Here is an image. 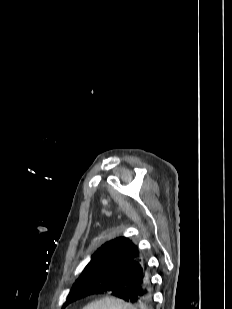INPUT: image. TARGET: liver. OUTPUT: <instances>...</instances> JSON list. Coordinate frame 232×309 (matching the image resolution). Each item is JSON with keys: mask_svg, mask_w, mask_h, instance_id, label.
Listing matches in <instances>:
<instances>
[{"mask_svg": "<svg viewBox=\"0 0 232 309\" xmlns=\"http://www.w3.org/2000/svg\"><path fill=\"white\" fill-rule=\"evenodd\" d=\"M83 309H136V307L121 299L105 297L88 304Z\"/></svg>", "mask_w": 232, "mask_h": 309, "instance_id": "1", "label": "liver"}]
</instances>
